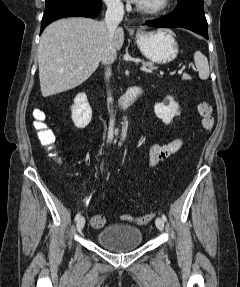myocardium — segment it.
Returning a JSON list of instances; mask_svg holds the SVG:
<instances>
[{
    "mask_svg": "<svg viewBox=\"0 0 240 287\" xmlns=\"http://www.w3.org/2000/svg\"><path fill=\"white\" fill-rule=\"evenodd\" d=\"M169 2L170 0H160L154 6H146L138 2L136 8L139 12L146 15H159L167 9Z\"/></svg>",
    "mask_w": 240,
    "mask_h": 287,
    "instance_id": "obj_1",
    "label": "myocardium"
}]
</instances>
